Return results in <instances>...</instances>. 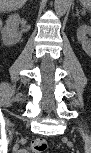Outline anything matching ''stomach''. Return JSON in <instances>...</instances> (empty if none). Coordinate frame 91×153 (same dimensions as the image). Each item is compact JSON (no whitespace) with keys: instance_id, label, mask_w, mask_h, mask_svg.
Here are the masks:
<instances>
[{"instance_id":"obj_1","label":"stomach","mask_w":91,"mask_h":153,"mask_svg":"<svg viewBox=\"0 0 91 153\" xmlns=\"http://www.w3.org/2000/svg\"><path fill=\"white\" fill-rule=\"evenodd\" d=\"M90 2H91L90 0H85V1H83V4L86 6H89L91 4Z\"/></svg>"}]
</instances>
